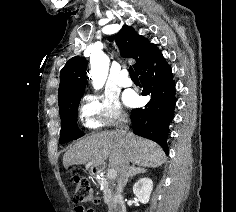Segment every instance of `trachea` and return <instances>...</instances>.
Here are the masks:
<instances>
[{
    "label": "trachea",
    "mask_w": 236,
    "mask_h": 212,
    "mask_svg": "<svg viewBox=\"0 0 236 212\" xmlns=\"http://www.w3.org/2000/svg\"><path fill=\"white\" fill-rule=\"evenodd\" d=\"M129 74L131 76V78H138L137 74L135 73L134 69L132 68V66L129 67L128 69Z\"/></svg>",
    "instance_id": "1"
}]
</instances>
